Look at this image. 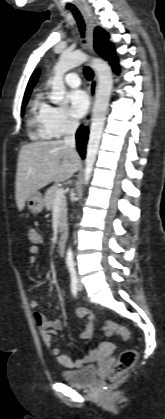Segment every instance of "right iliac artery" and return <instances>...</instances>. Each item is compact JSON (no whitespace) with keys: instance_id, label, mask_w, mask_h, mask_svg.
<instances>
[{"instance_id":"82829eb1","label":"right iliac artery","mask_w":165,"mask_h":419,"mask_svg":"<svg viewBox=\"0 0 165 419\" xmlns=\"http://www.w3.org/2000/svg\"><path fill=\"white\" fill-rule=\"evenodd\" d=\"M70 276H71V292L74 296H77V275L74 268V265L70 264L68 265Z\"/></svg>"}]
</instances>
